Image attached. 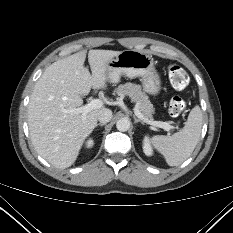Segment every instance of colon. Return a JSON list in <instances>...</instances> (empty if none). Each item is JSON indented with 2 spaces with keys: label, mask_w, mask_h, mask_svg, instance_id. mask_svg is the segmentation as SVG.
Here are the masks:
<instances>
[{
  "label": "colon",
  "mask_w": 233,
  "mask_h": 233,
  "mask_svg": "<svg viewBox=\"0 0 233 233\" xmlns=\"http://www.w3.org/2000/svg\"><path fill=\"white\" fill-rule=\"evenodd\" d=\"M167 75L171 85L178 90L186 88L189 84L190 78L187 72L177 64H169L167 67ZM185 101L175 96L170 100L169 113L173 117L179 116L185 110Z\"/></svg>",
  "instance_id": "obj_1"
}]
</instances>
